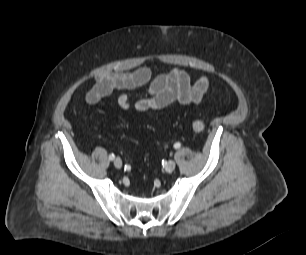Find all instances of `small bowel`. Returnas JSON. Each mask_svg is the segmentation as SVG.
I'll return each mask as SVG.
<instances>
[{
	"label": "small bowel",
	"instance_id": "1",
	"mask_svg": "<svg viewBox=\"0 0 306 255\" xmlns=\"http://www.w3.org/2000/svg\"><path fill=\"white\" fill-rule=\"evenodd\" d=\"M148 85L147 93L131 102L127 91ZM209 87V80L202 76L192 82L189 74L181 69H173L152 77L149 67H141L128 72H108L95 77L86 96L87 103L93 107L103 97L115 91H122L117 104L123 111L134 109L139 113L160 110L178 103L187 105L200 102Z\"/></svg>",
	"mask_w": 306,
	"mask_h": 255
}]
</instances>
